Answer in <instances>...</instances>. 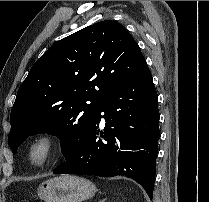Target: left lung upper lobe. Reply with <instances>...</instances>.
I'll list each match as a JSON object with an SVG mask.
<instances>
[{
    "label": "left lung upper lobe",
    "mask_w": 209,
    "mask_h": 202,
    "mask_svg": "<svg viewBox=\"0 0 209 202\" xmlns=\"http://www.w3.org/2000/svg\"><path fill=\"white\" fill-rule=\"evenodd\" d=\"M145 63L128 30L111 20L53 44L17 92L8 138L13 154L30 135L48 133L60 138L66 157L84 138L97 104Z\"/></svg>",
    "instance_id": "left-lung-upper-lobe-1"
}]
</instances>
